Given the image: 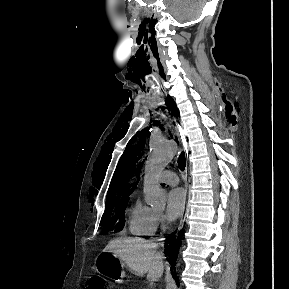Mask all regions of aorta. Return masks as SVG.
I'll use <instances>...</instances> for the list:
<instances>
[{
  "mask_svg": "<svg viewBox=\"0 0 289 289\" xmlns=\"http://www.w3.org/2000/svg\"><path fill=\"white\" fill-rule=\"evenodd\" d=\"M176 151V144L171 140L156 138L150 144L143 190L147 204L152 207H163L166 203V193L154 178L171 162Z\"/></svg>",
  "mask_w": 289,
  "mask_h": 289,
  "instance_id": "762f6f07",
  "label": "aorta"
}]
</instances>
